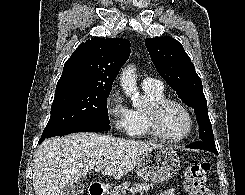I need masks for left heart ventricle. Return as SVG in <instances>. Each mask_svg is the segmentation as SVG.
<instances>
[{"label":"left heart ventricle","mask_w":245,"mask_h":195,"mask_svg":"<svg viewBox=\"0 0 245 195\" xmlns=\"http://www.w3.org/2000/svg\"><path fill=\"white\" fill-rule=\"evenodd\" d=\"M159 127L169 137L183 135L188 129L187 115L179 106L169 105L160 115Z\"/></svg>","instance_id":"obj_1"}]
</instances>
